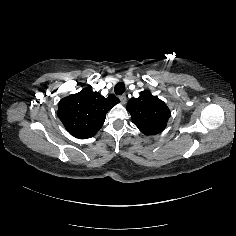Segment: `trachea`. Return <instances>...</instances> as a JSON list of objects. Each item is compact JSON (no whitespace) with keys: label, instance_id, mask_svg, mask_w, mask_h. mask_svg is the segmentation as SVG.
Masks as SVG:
<instances>
[{"label":"trachea","instance_id":"3493384b","mask_svg":"<svg viewBox=\"0 0 236 236\" xmlns=\"http://www.w3.org/2000/svg\"><path fill=\"white\" fill-rule=\"evenodd\" d=\"M126 86L123 82H119L118 84H116L115 88H114V92L117 95H122L125 92Z\"/></svg>","mask_w":236,"mask_h":236}]
</instances>
